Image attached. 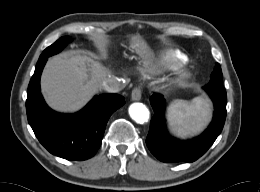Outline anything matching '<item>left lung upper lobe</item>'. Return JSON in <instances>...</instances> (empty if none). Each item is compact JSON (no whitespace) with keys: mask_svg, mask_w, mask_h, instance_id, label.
Returning a JSON list of instances; mask_svg holds the SVG:
<instances>
[{"mask_svg":"<svg viewBox=\"0 0 260 192\" xmlns=\"http://www.w3.org/2000/svg\"><path fill=\"white\" fill-rule=\"evenodd\" d=\"M223 83V76L221 67L219 64L216 65L213 73L211 74V80L208 85H222Z\"/></svg>","mask_w":260,"mask_h":192,"instance_id":"obj_1","label":"left lung upper lobe"}]
</instances>
